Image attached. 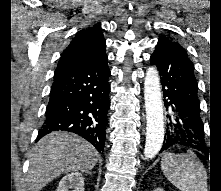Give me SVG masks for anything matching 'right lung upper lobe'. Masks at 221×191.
Instances as JSON below:
<instances>
[{
  "instance_id": "cb5924a9",
  "label": "right lung upper lobe",
  "mask_w": 221,
  "mask_h": 191,
  "mask_svg": "<svg viewBox=\"0 0 221 191\" xmlns=\"http://www.w3.org/2000/svg\"><path fill=\"white\" fill-rule=\"evenodd\" d=\"M105 46L100 23L87 30H81L63 52L56 72L90 62L108 60Z\"/></svg>"
}]
</instances>
